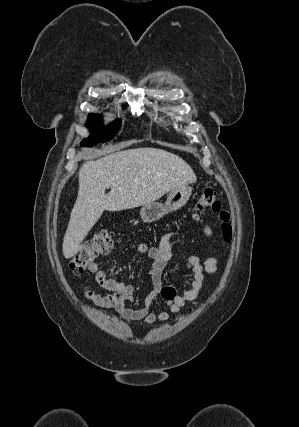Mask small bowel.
I'll list each match as a JSON object with an SVG mask.
<instances>
[{"instance_id": "obj_1", "label": "small bowel", "mask_w": 299, "mask_h": 427, "mask_svg": "<svg viewBox=\"0 0 299 427\" xmlns=\"http://www.w3.org/2000/svg\"><path fill=\"white\" fill-rule=\"evenodd\" d=\"M204 232L208 237L212 235L209 227H205ZM170 239L171 234L165 233L155 246H149L146 243H138L136 246V251L146 255L150 260L148 275L153 285L142 307L128 306V303L134 300L135 285L108 277L106 271L101 269L97 262H94L89 269L94 273L97 285L110 293L101 295L86 285L85 297L99 307L113 309L126 320L146 324H152L157 320H169L171 314L179 313L182 307L197 300L204 285L205 273L213 274L218 267L217 256H211L204 261L195 255L187 257L185 267L192 272L193 279L188 289L180 294L177 293L174 287L163 283V271L172 251ZM159 299L164 301L168 310L154 309L153 306Z\"/></svg>"}]
</instances>
